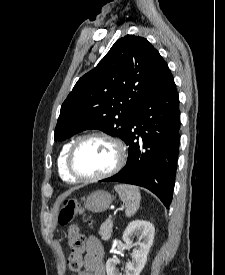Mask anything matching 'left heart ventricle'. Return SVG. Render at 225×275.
Returning <instances> with one entry per match:
<instances>
[{
  "mask_svg": "<svg viewBox=\"0 0 225 275\" xmlns=\"http://www.w3.org/2000/svg\"><path fill=\"white\" fill-rule=\"evenodd\" d=\"M116 161L114 146L103 139L83 142L74 156V168L84 176L98 175L110 170Z\"/></svg>",
  "mask_w": 225,
  "mask_h": 275,
  "instance_id": "b2bd125f",
  "label": "left heart ventricle"
}]
</instances>
